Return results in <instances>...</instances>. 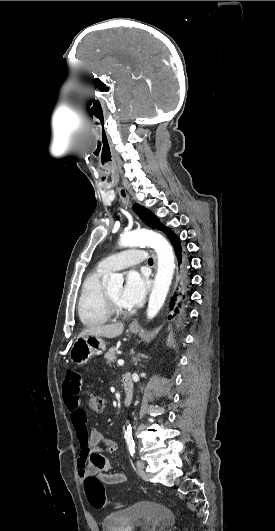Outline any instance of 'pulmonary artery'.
<instances>
[{"label": "pulmonary artery", "mask_w": 275, "mask_h": 531, "mask_svg": "<svg viewBox=\"0 0 275 531\" xmlns=\"http://www.w3.org/2000/svg\"><path fill=\"white\" fill-rule=\"evenodd\" d=\"M151 256L146 250L139 249L138 246L132 245L126 252L110 254L106 261H100L98 269L100 272H113L118 275L126 265H143L147 263V258Z\"/></svg>", "instance_id": "1"}]
</instances>
